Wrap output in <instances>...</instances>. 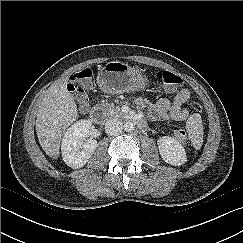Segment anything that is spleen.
Wrapping results in <instances>:
<instances>
[{"label":"spleen","instance_id":"obj_1","mask_svg":"<svg viewBox=\"0 0 243 243\" xmlns=\"http://www.w3.org/2000/svg\"><path fill=\"white\" fill-rule=\"evenodd\" d=\"M186 129L193 145L200 148L203 142V125L200 114H193L188 118Z\"/></svg>","mask_w":243,"mask_h":243}]
</instances>
